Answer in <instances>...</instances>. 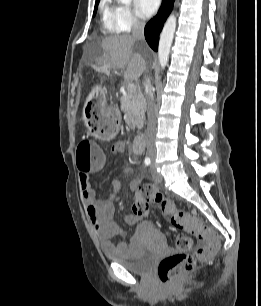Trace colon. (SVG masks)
<instances>
[{
  "instance_id": "obj_1",
  "label": "colon",
  "mask_w": 261,
  "mask_h": 306,
  "mask_svg": "<svg viewBox=\"0 0 261 306\" xmlns=\"http://www.w3.org/2000/svg\"><path fill=\"white\" fill-rule=\"evenodd\" d=\"M96 135L103 140H110L115 136V123L96 125L93 127ZM77 167L81 171H87L105 160L101 149L90 141L83 140L76 148ZM160 203L163 213L171 224L186 231L176 239L177 252L162 259L158 265V276L164 283H174L180 276L192 271L197 261H206L219 248L220 237L211 228L205 226L197 217L189 212L176 209L171 202L157 192L152 184H144L139 187L133 212L141 218L150 214V204ZM195 238L203 241L196 253H189L195 246Z\"/></svg>"
}]
</instances>
